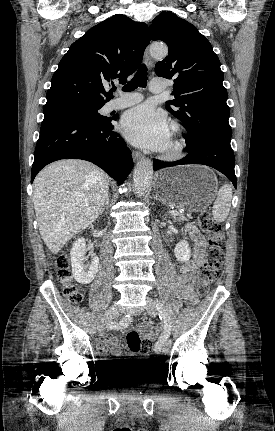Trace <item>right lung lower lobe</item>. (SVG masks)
Segmentation results:
<instances>
[{
    "mask_svg": "<svg viewBox=\"0 0 275 431\" xmlns=\"http://www.w3.org/2000/svg\"><path fill=\"white\" fill-rule=\"evenodd\" d=\"M118 116L94 122L76 115L54 114L44 117L35 149L31 183L47 164L60 159H83L102 168L119 184L133 167L131 151L112 121Z\"/></svg>",
    "mask_w": 275,
    "mask_h": 431,
    "instance_id": "right-lung-lower-lobe-1",
    "label": "right lung lower lobe"
}]
</instances>
